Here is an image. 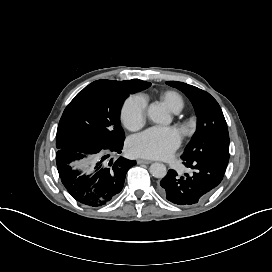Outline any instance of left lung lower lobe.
Returning a JSON list of instances; mask_svg holds the SVG:
<instances>
[{
  "label": "left lung lower lobe",
  "instance_id": "obj_1",
  "mask_svg": "<svg viewBox=\"0 0 272 272\" xmlns=\"http://www.w3.org/2000/svg\"><path fill=\"white\" fill-rule=\"evenodd\" d=\"M187 167L195 169L193 176L177 177L169 170L160 181V193L167 200L181 206H191L204 199L221 182L226 165L212 160L185 161Z\"/></svg>",
  "mask_w": 272,
  "mask_h": 272
}]
</instances>
